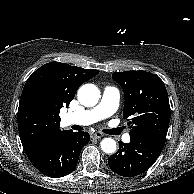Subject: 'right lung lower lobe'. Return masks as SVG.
<instances>
[{
  "mask_svg": "<svg viewBox=\"0 0 194 194\" xmlns=\"http://www.w3.org/2000/svg\"><path fill=\"white\" fill-rule=\"evenodd\" d=\"M89 140L87 132L59 131L25 153L41 173L59 178L75 169L80 152Z\"/></svg>",
  "mask_w": 194,
  "mask_h": 194,
  "instance_id": "98d812e1",
  "label": "right lung lower lobe"
}]
</instances>
